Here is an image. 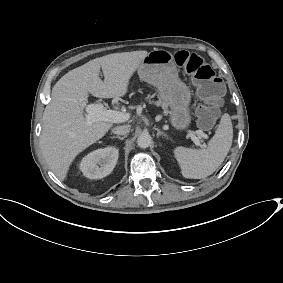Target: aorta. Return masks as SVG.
<instances>
[{"instance_id": "762f6f07", "label": "aorta", "mask_w": 283, "mask_h": 283, "mask_svg": "<svg viewBox=\"0 0 283 283\" xmlns=\"http://www.w3.org/2000/svg\"><path fill=\"white\" fill-rule=\"evenodd\" d=\"M152 138L148 133H142L138 136L137 144L140 148L145 149L151 145Z\"/></svg>"}]
</instances>
